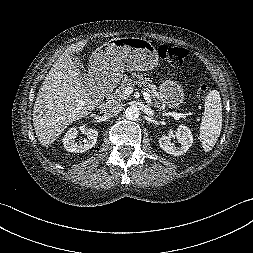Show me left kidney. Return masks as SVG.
Instances as JSON below:
<instances>
[{"label":"left kidney","mask_w":253,"mask_h":253,"mask_svg":"<svg viewBox=\"0 0 253 253\" xmlns=\"http://www.w3.org/2000/svg\"><path fill=\"white\" fill-rule=\"evenodd\" d=\"M176 137L180 146H175L169 140L167 135H163L159 139L160 147L168 154L173 156H179L187 152V150L192 146L193 136L190 129L185 125H179Z\"/></svg>","instance_id":"5707ae66"}]
</instances>
